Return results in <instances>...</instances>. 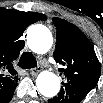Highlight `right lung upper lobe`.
Returning <instances> with one entry per match:
<instances>
[{
  "instance_id": "cb5924a9",
  "label": "right lung upper lobe",
  "mask_w": 103,
  "mask_h": 103,
  "mask_svg": "<svg viewBox=\"0 0 103 103\" xmlns=\"http://www.w3.org/2000/svg\"><path fill=\"white\" fill-rule=\"evenodd\" d=\"M45 19L40 13L0 9V97L17 86L13 62L24 46V41L18 39L27 26Z\"/></svg>"
}]
</instances>
